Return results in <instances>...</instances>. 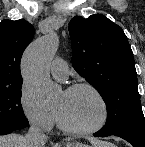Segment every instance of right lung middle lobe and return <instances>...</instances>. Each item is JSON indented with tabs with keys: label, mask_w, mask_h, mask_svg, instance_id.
<instances>
[{
	"label": "right lung middle lobe",
	"mask_w": 145,
	"mask_h": 147,
	"mask_svg": "<svg viewBox=\"0 0 145 147\" xmlns=\"http://www.w3.org/2000/svg\"><path fill=\"white\" fill-rule=\"evenodd\" d=\"M22 82L0 86V131H12L29 125L21 106Z\"/></svg>",
	"instance_id": "obj_1"
}]
</instances>
